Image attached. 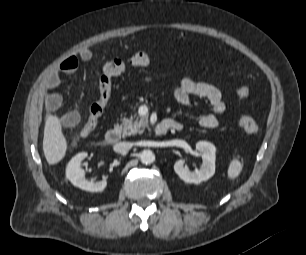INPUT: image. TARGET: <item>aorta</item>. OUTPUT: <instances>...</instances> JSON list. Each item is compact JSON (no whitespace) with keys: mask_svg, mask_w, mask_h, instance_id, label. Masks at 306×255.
<instances>
[{"mask_svg":"<svg viewBox=\"0 0 306 255\" xmlns=\"http://www.w3.org/2000/svg\"><path fill=\"white\" fill-rule=\"evenodd\" d=\"M140 160L143 164H151L155 160V155L151 150H143L140 155Z\"/></svg>","mask_w":306,"mask_h":255,"instance_id":"762f6f07","label":"aorta"}]
</instances>
